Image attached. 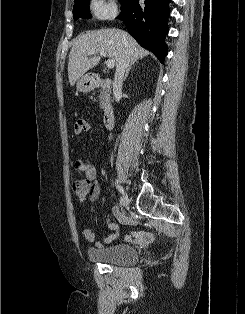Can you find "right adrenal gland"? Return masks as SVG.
I'll return each mask as SVG.
<instances>
[{
	"mask_svg": "<svg viewBox=\"0 0 245 314\" xmlns=\"http://www.w3.org/2000/svg\"><path fill=\"white\" fill-rule=\"evenodd\" d=\"M132 65H133V63H131V64L128 66V68H127V70H126V73H125V76H124V79H123L124 81L127 79L128 74H129V71H130Z\"/></svg>",
	"mask_w": 245,
	"mask_h": 314,
	"instance_id": "right-adrenal-gland-1",
	"label": "right adrenal gland"
}]
</instances>
